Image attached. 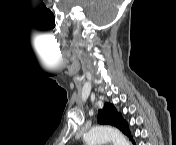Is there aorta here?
Returning a JSON list of instances; mask_svg holds the SVG:
<instances>
[{
	"label": "aorta",
	"mask_w": 176,
	"mask_h": 145,
	"mask_svg": "<svg viewBox=\"0 0 176 145\" xmlns=\"http://www.w3.org/2000/svg\"><path fill=\"white\" fill-rule=\"evenodd\" d=\"M87 145H102L111 141L113 145H129L126 137L117 129L108 126H95L84 136Z\"/></svg>",
	"instance_id": "1"
}]
</instances>
